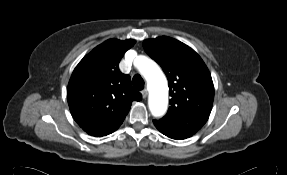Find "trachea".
Segmentation results:
<instances>
[{
	"label": "trachea",
	"instance_id": "1",
	"mask_svg": "<svg viewBox=\"0 0 287 175\" xmlns=\"http://www.w3.org/2000/svg\"><path fill=\"white\" fill-rule=\"evenodd\" d=\"M133 86L136 90H143L144 89V80L138 74L134 75L132 79Z\"/></svg>",
	"mask_w": 287,
	"mask_h": 175
}]
</instances>
